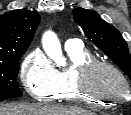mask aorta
<instances>
[{
	"instance_id": "obj_1",
	"label": "aorta",
	"mask_w": 131,
	"mask_h": 115,
	"mask_svg": "<svg viewBox=\"0 0 131 115\" xmlns=\"http://www.w3.org/2000/svg\"><path fill=\"white\" fill-rule=\"evenodd\" d=\"M43 49L46 54L58 65H64L61 44L54 32L48 31L44 33L42 38Z\"/></svg>"
}]
</instances>
